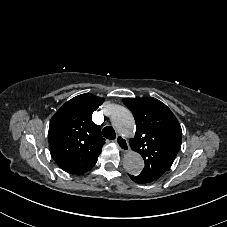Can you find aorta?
Listing matches in <instances>:
<instances>
[{"label":"aorta","instance_id":"obj_1","mask_svg":"<svg viewBox=\"0 0 227 227\" xmlns=\"http://www.w3.org/2000/svg\"><path fill=\"white\" fill-rule=\"evenodd\" d=\"M110 119L115 129L122 135L130 136L135 129V120L132 113L125 107L114 105L111 107ZM125 170L131 175H138L144 168L142 156L129 151L123 160Z\"/></svg>","mask_w":227,"mask_h":227}]
</instances>
